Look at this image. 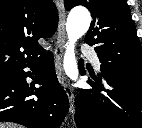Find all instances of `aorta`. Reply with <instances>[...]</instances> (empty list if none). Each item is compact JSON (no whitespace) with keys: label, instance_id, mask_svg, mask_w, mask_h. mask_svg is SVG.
I'll return each mask as SVG.
<instances>
[{"label":"aorta","instance_id":"762f6f07","mask_svg":"<svg viewBox=\"0 0 142 128\" xmlns=\"http://www.w3.org/2000/svg\"><path fill=\"white\" fill-rule=\"evenodd\" d=\"M90 23L91 16L89 11L85 8L72 10L67 19L66 31L68 34V42L66 44L63 63L66 75L72 80H76L79 75L74 52L75 43L88 31Z\"/></svg>","mask_w":142,"mask_h":128}]
</instances>
